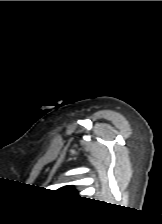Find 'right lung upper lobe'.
I'll return each mask as SVG.
<instances>
[{
  "label": "right lung upper lobe",
  "instance_id": "1",
  "mask_svg": "<svg viewBox=\"0 0 162 224\" xmlns=\"http://www.w3.org/2000/svg\"><path fill=\"white\" fill-rule=\"evenodd\" d=\"M60 191L70 193V194H73V195L77 196V193L72 189L71 186L63 187V188L60 189Z\"/></svg>",
  "mask_w": 162,
  "mask_h": 224
}]
</instances>
